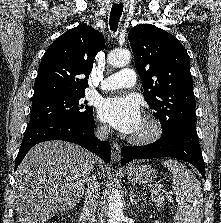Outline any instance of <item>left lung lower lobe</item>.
Returning a JSON list of instances; mask_svg holds the SVG:
<instances>
[{
    "instance_id": "0a47b994",
    "label": "left lung lower lobe",
    "mask_w": 221,
    "mask_h": 223,
    "mask_svg": "<svg viewBox=\"0 0 221 223\" xmlns=\"http://www.w3.org/2000/svg\"><path fill=\"white\" fill-rule=\"evenodd\" d=\"M121 165L133 159L173 157L194 165L205 178V163L193 126L182 125L166 136L145 146H125L121 149Z\"/></svg>"
}]
</instances>
